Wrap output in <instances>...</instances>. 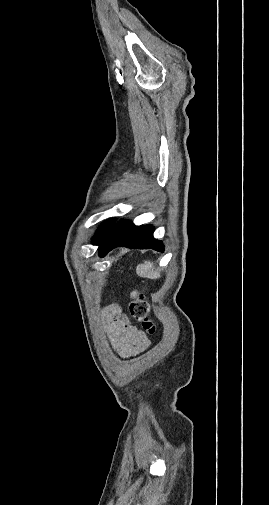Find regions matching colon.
Here are the masks:
<instances>
[{"label": "colon", "instance_id": "1", "mask_svg": "<svg viewBox=\"0 0 269 505\" xmlns=\"http://www.w3.org/2000/svg\"><path fill=\"white\" fill-rule=\"evenodd\" d=\"M129 314L148 334L156 332V324L151 318L150 307L144 295L139 291L132 293V301L129 304Z\"/></svg>", "mask_w": 269, "mask_h": 505}]
</instances>
